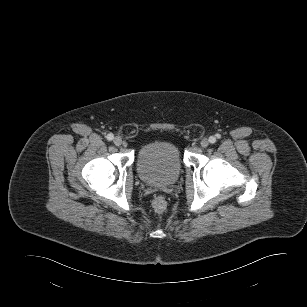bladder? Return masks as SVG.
<instances>
[{
  "instance_id": "31cf9c89",
  "label": "bladder",
  "mask_w": 307,
  "mask_h": 307,
  "mask_svg": "<svg viewBox=\"0 0 307 307\" xmlns=\"http://www.w3.org/2000/svg\"><path fill=\"white\" fill-rule=\"evenodd\" d=\"M183 169V158L177 144L171 141H154L138 152L136 170L145 183L168 185L175 182Z\"/></svg>"
}]
</instances>
